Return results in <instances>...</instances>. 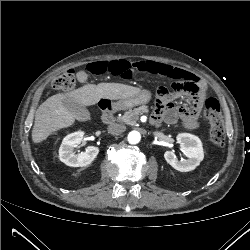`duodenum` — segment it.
Returning <instances> with one entry per match:
<instances>
[{
  "instance_id": "obj_1",
  "label": "duodenum",
  "mask_w": 250,
  "mask_h": 250,
  "mask_svg": "<svg viewBox=\"0 0 250 250\" xmlns=\"http://www.w3.org/2000/svg\"><path fill=\"white\" fill-rule=\"evenodd\" d=\"M101 118L104 123H111L113 120V108L107 102L101 103Z\"/></svg>"
}]
</instances>
